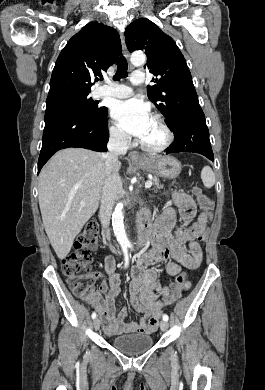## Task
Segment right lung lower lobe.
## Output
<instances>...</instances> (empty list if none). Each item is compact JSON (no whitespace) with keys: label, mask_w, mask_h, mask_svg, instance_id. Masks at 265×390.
Listing matches in <instances>:
<instances>
[{"label":"right lung lower lobe","mask_w":265,"mask_h":390,"mask_svg":"<svg viewBox=\"0 0 265 390\" xmlns=\"http://www.w3.org/2000/svg\"><path fill=\"white\" fill-rule=\"evenodd\" d=\"M108 140L107 114L100 119H92L74 111L45 112V128L38 160V173L58 150L81 147L106 152Z\"/></svg>","instance_id":"right-lung-lower-lobe-1"}]
</instances>
